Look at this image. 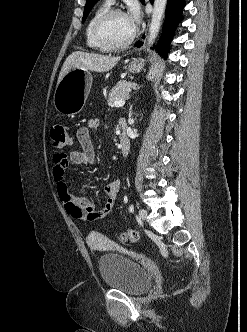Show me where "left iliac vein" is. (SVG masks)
I'll return each instance as SVG.
<instances>
[{"label": "left iliac vein", "mask_w": 247, "mask_h": 332, "mask_svg": "<svg viewBox=\"0 0 247 332\" xmlns=\"http://www.w3.org/2000/svg\"><path fill=\"white\" fill-rule=\"evenodd\" d=\"M140 220L144 221L147 218V211L145 209H140L138 212Z\"/></svg>", "instance_id": "4c4485c4"}]
</instances>
